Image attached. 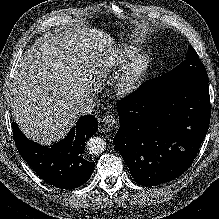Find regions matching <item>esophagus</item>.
I'll use <instances>...</instances> for the list:
<instances>
[{"mask_svg": "<svg viewBox=\"0 0 219 219\" xmlns=\"http://www.w3.org/2000/svg\"><path fill=\"white\" fill-rule=\"evenodd\" d=\"M101 123L105 127H113L116 123V120L113 115H105L104 117H102Z\"/></svg>", "mask_w": 219, "mask_h": 219, "instance_id": "34e87169", "label": "esophagus"}]
</instances>
